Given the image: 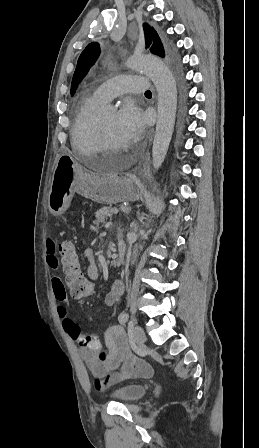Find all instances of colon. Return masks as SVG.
Listing matches in <instances>:
<instances>
[{
    "label": "colon",
    "instance_id": "obj_1",
    "mask_svg": "<svg viewBox=\"0 0 259 448\" xmlns=\"http://www.w3.org/2000/svg\"><path fill=\"white\" fill-rule=\"evenodd\" d=\"M59 251L64 281L71 295L75 298L93 296L95 288L82 270L81 256L75 245L70 241H64L60 244ZM80 345L97 352L101 361H105L108 357L107 353L101 350L99 337L95 334L83 335Z\"/></svg>",
    "mask_w": 259,
    "mask_h": 448
}]
</instances>
